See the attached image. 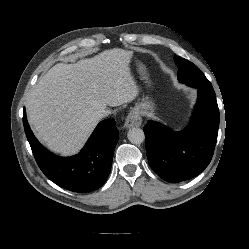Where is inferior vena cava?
<instances>
[{"instance_id": "1", "label": "inferior vena cava", "mask_w": 249, "mask_h": 249, "mask_svg": "<svg viewBox=\"0 0 249 249\" xmlns=\"http://www.w3.org/2000/svg\"><path fill=\"white\" fill-rule=\"evenodd\" d=\"M110 113H111L110 110H108V109H102L99 112H97L96 116H97V118L101 119L103 117L108 116Z\"/></svg>"}]
</instances>
